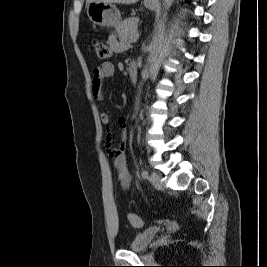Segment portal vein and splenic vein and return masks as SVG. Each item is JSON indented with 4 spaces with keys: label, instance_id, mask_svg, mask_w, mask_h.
<instances>
[{
    "label": "portal vein and splenic vein",
    "instance_id": "1",
    "mask_svg": "<svg viewBox=\"0 0 267 267\" xmlns=\"http://www.w3.org/2000/svg\"><path fill=\"white\" fill-rule=\"evenodd\" d=\"M138 38H139V33H137L136 35L131 36L130 37V41L132 43H135L138 40Z\"/></svg>",
    "mask_w": 267,
    "mask_h": 267
}]
</instances>
